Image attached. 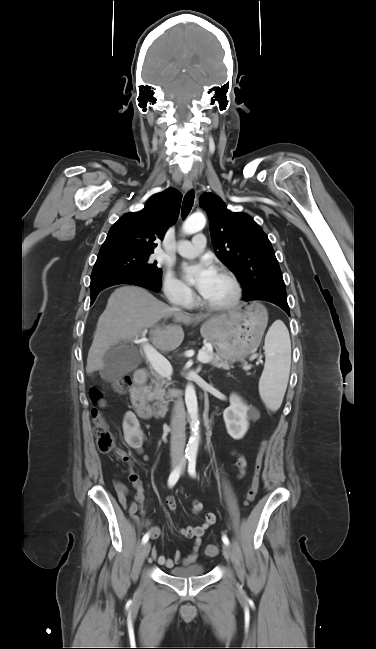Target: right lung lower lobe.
<instances>
[{"label":"right lung lower lobe","mask_w":376,"mask_h":649,"mask_svg":"<svg viewBox=\"0 0 376 649\" xmlns=\"http://www.w3.org/2000/svg\"><path fill=\"white\" fill-rule=\"evenodd\" d=\"M118 284L136 285V286L147 288L154 292H159L161 289V281H157L143 275L109 273V274L99 276L97 278H91V283H90L91 304H93L97 295L102 290Z\"/></svg>","instance_id":"98d812e1"}]
</instances>
